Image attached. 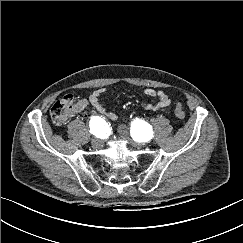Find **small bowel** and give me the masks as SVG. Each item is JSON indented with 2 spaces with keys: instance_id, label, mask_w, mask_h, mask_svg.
<instances>
[{
  "instance_id": "obj_1",
  "label": "small bowel",
  "mask_w": 243,
  "mask_h": 243,
  "mask_svg": "<svg viewBox=\"0 0 243 243\" xmlns=\"http://www.w3.org/2000/svg\"><path fill=\"white\" fill-rule=\"evenodd\" d=\"M105 88H100L94 91L89 99L79 100L73 109L74 113L81 112L86 109L89 105H92L95 110L102 116L108 119H115V114L109 111L103 104L101 98L105 93ZM145 95L156 99L155 103L142 102L141 108L146 111H157V110H168L171 107V100L169 97L161 90H156L153 88H147L144 91Z\"/></svg>"
}]
</instances>
